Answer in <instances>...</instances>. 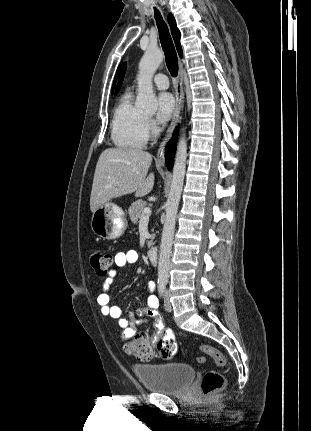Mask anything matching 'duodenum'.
<instances>
[{"instance_id": "1", "label": "duodenum", "mask_w": 311, "mask_h": 431, "mask_svg": "<svg viewBox=\"0 0 311 431\" xmlns=\"http://www.w3.org/2000/svg\"><path fill=\"white\" fill-rule=\"evenodd\" d=\"M158 254L159 253H158V248L157 247L153 246V247H150L148 249L147 256H148V259L150 260V262L152 264H156L157 263V261H158Z\"/></svg>"}]
</instances>
